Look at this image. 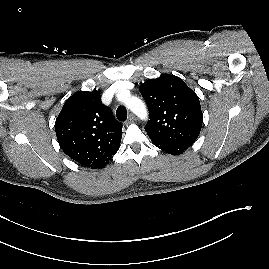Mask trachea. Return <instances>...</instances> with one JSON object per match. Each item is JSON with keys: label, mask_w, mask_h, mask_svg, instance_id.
I'll list each match as a JSON object with an SVG mask.
<instances>
[{"label": "trachea", "mask_w": 269, "mask_h": 269, "mask_svg": "<svg viewBox=\"0 0 269 269\" xmlns=\"http://www.w3.org/2000/svg\"><path fill=\"white\" fill-rule=\"evenodd\" d=\"M116 116L119 121H125L127 119V110L124 106H119L117 108Z\"/></svg>", "instance_id": "trachea-1"}]
</instances>
